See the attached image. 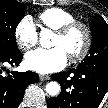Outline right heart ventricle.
<instances>
[{
	"instance_id": "right-heart-ventricle-1",
	"label": "right heart ventricle",
	"mask_w": 108,
	"mask_h": 108,
	"mask_svg": "<svg viewBox=\"0 0 108 108\" xmlns=\"http://www.w3.org/2000/svg\"><path fill=\"white\" fill-rule=\"evenodd\" d=\"M38 20L42 26L57 30L60 27L75 21V16L65 9L54 7L41 12L38 15Z\"/></svg>"
}]
</instances>
